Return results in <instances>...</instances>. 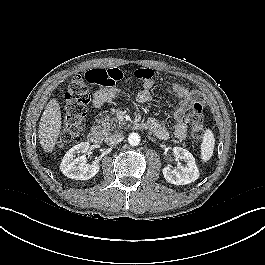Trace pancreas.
<instances>
[{"label": "pancreas", "instance_id": "cf45deb5", "mask_svg": "<svg viewBox=\"0 0 265 265\" xmlns=\"http://www.w3.org/2000/svg\"><path fill=\"white\" fill-rule=\"evenodd\" d=\"M98 128L102 131V134L107 136L111 133V131L118 130L121 128V123H118L117 120H110L108 117L101 121V125Z\"/></svg>", "mask_w": 265, "mask_h": 265}]
</instances>
